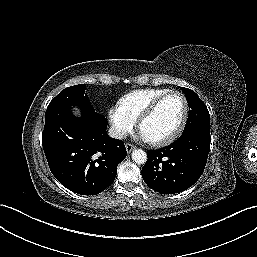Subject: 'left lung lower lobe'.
<instances>
[{"mask_svg": "<svg viewBox=\"0 0 257 257\" xmlns=\"http://www.w3.org/2000/svg\"><path fill=\"white\" fill-rule=\"evenodd\" d=\"M210 132L191 131L172 144L149 150L142 169L145 183L161 194L179 193L202 175L210 150Z\"/></svg>", "mask_w": 257, "mask_h": 257, "instance_id": "left-lung-lower-lobe-1", "label": "left lung lower lobe"}]
</instances>
